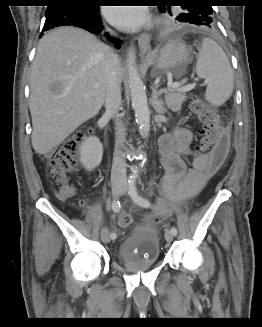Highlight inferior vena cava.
Wrapping results in <instances>:
<instances>
[{"label":"inferior vena cava","instance_id":"1","mask_svg":"<svg viewBox=\"0 0 262 327\" xmlns=\"http://www.w3.org/2000/svg\"><path fill=\"white\" fill-rule=\"evenodd\" d=\"M106 114L116 117L121 107V89L119 78V61L117 55L112 54L106 65ZM125 139V128L119 118H116V141L113 163L111 169V181H126V163L120 148Z\"/></svg>","mask_w":262,"mask_h":327}]
</instances>
